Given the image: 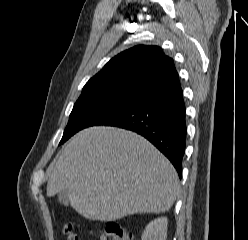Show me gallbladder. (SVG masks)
<instances>
[{
    "label": "gallbladder",
    "mask_w": 248,
    "mask_h": 240,
    "mask_svg": "<svg viewBox=\"0 0 248 240\" xmlns=\"http://www.w3.org/2000/svg\"><path fill=\"white\" fill-rule=\"evenodd\" d=\"M58 200L63 206H68L70 203L68 190L58 192Z\"/></svg>",
    "instance_id": "1"
}]
</instances>
